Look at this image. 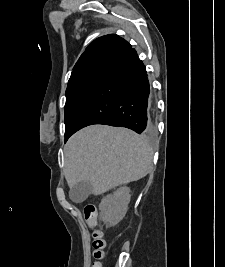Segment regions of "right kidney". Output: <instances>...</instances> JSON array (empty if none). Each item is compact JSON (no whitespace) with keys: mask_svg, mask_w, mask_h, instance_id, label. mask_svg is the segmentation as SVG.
Segmentation results:
<instances>
[{"mask_svg":"<svg viewBox=\"0 0 225 267\" xmlns=\"http://www.w3.org/2000/svg\"><path fill=\"white\" fill-rule=\"evenodd\" d=\"M130 188L123 186L104 197L99 205L100 218L103 222L114 226L125 216L130 202Z\"/></svg>","mask_w":225,"mask_h":267,"instance_id":"1","label":"right kidney"}]
</instances>
